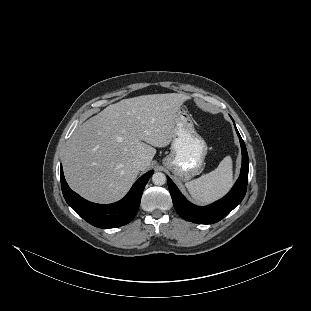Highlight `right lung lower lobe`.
<instances>
[{"mask_svg":"<svg viewBox=\"0 0 311 311\" xmlns=\"http://www.w3.org/2000/svg\"><path fill=\"white\" fill-rule=\"evenodd\" d=\"M153 172L151 170L145 173L122 200L109 205L89 202L73 192L65 181L62 165L61 188L68 205L88 223L99 228H116L129 223L135 217L143 190Z\"/></svg>","mask_w":311,"mask_h":311,"instance_id":"obj_1","label":"right lung lower lobe"}]
</instances>
